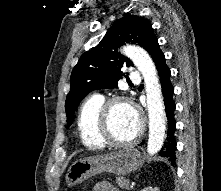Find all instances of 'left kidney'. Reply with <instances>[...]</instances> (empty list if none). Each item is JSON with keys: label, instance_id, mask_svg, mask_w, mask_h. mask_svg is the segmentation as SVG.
Returning <instances> with one entry per match:
<instances>
[{"label": "left kidney", "instance_id": "left-kidney-1", "mask_svg": "<svg viewBox=\"0 0 221 191\" xmlns=\"http://www.w3.org/2000/svg\"><path fill=\"white\" fill-rule=\"evenodd\" d=\"M141 191H159V189L157 187L153 188V187L149 186V187L142 189Z\"/></svg>", "mask_w": 221, "mask_h": 191}]
</instances>
